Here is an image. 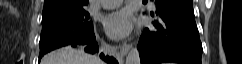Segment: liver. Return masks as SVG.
I'll return each mask as SVG.
<instances>
[{"mask_svg": "<svg viewBox=\"0 0 242 64\" xmlns=\"http://www.w3.org/2000/svg\"><path fill=\"white\" fill-rule=\"evenodd\" d=\"M41 64H102V61L83 50L68 46L52 51L42 59Z\"/></svg>", "mask_w": 242, "mask_h": 64, "instance_id": "6515ba94", "label": "liver"}]
</instances>
